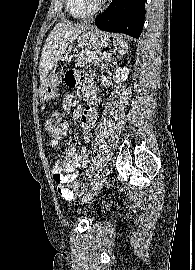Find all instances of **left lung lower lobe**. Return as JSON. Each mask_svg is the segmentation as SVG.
Returning a JSON list of instances; mask_svg holds the SVG:
<instances>
[{
  "label": "left lung lower lobe",
  "instance_id": "0a47b994",
  "mask_svg": "<svg viewBox=\"0 0 195 270\" xmlns=\"http://www.w3.org/2000/svg\"><path fill=\"white\" fill-rule=\"evenodd\" d=\"M145 18V0H112L109 7L95 19L104 31L119 32L139 38Z\"/></svg>",
  "mask_w": 195,
  "mask_h": 270
}]
</instances>
